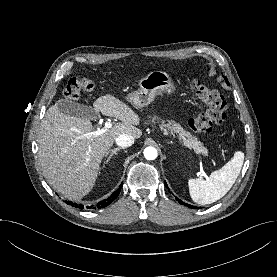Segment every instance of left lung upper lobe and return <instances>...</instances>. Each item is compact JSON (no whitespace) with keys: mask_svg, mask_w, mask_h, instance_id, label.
Returning <instances> with one entry per match:
<instances>
[{"mask_svg":"<svg viewBox=\"0 0 277 277\" xmlns=\"http://www.w3.org/2000/svg\"><path fill=\"white\" fill-rule=\"evenodd\" d=\"M224 78H225V80H226V83L229 84L227 78H226V77H224Z\"/></svg>","mask_w":277,"mask_h":277,"instance_id":"obj_1","label":"left lung upper lobe"}]
</instances>
